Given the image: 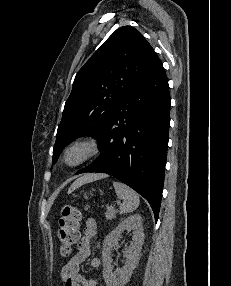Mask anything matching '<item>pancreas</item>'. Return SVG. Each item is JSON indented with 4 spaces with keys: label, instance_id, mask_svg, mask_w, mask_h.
Returning <instances> with one entry per match:
<instances>
[{
    "label": "pancreas",
    "instance_id": "obj_1",
    "mask_svg": "<svg viewBox=\"0 0 231 286\" xmlns=\"http://www.w3.org/2000/svg\"><path fill=\"white\" fill-rule=\"evenodd\" d=\"M116 213H118L117 210L114 208L110 207L107 209V212L105 213L106 220H112L115 219Z\"/></svg>",
    "mask_w": 231,
    "mask_h": 286
}]
</instances>
